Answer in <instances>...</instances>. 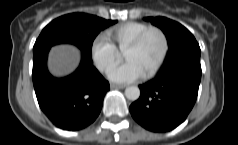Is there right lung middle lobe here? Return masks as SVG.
Here are the masks:
<instances>
[{"instance_id": "obj_1", "label": "right lung middle lobe", "mask_w": 238, "mask_h": 145, "mask_svg": "<svg viewBox=\"0 0 238 145\" xmlns=\"http://www.w3.org/2000/svg\"><path fill=\"white\" fill-rule=\"evenodd\" d=\"M117 20H105L85 13H71L51 21L36 40L33 52L60 43L77 46L82 54L91 57L92 43L98 33Z\"/></svg>"}]
</instances>
